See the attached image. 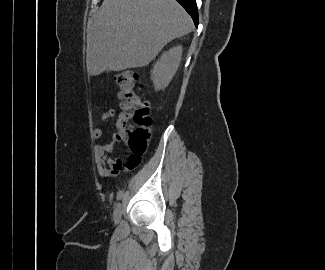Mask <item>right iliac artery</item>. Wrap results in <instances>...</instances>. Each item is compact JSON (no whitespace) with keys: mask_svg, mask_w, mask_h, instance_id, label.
Returning a JSON list of instances; mask_svg holds the SVG:
<instances>
[{"mask_svg":"<svg viewBox=\"0 0 325 270\" xmlns=\"http://www.w3.org/2000/svg\"><path fill=\"white\" fill-rule=\"evenodd\" d=\"M123 194H124L123 191H119V192L117 193V200H120V199L123 197Z\"/></svg>","mask_w":325,"mask_h":270,"instance_id":"obj_1","label":"right iliac artery"}]
</instances>
